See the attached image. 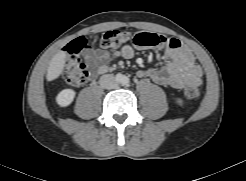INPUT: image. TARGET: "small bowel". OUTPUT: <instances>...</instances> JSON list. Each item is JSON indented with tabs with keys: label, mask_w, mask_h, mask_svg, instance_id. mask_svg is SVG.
<instances>
[{
	"label": "small bowel",
	"mask_w": 246,
	"mask_h": 181,
	"mask_svg": "<svg viewBox=\"0 0 246 181\" xmlns=\"http://www.w3.org/2000/svg\"><path fill=\"white\" fill-rule=\"evenodd\" d=\"M134 54L135 50L130 45H124L115 52L92 47H86L83 50V56L91 66L93 75L108 72L112 59L118 57L130 59ZM166 55L170 61L163 68L140 70L138 75L143 78H150L159 85L174 89H181L187 83L201 84L202 69L186 45L177 39H172V44L166 46Z\"/></svg>",
	"instance_id": "1"
}]
</instances>
